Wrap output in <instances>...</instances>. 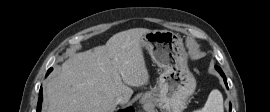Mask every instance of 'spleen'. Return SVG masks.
I'll use <instances>...</instances> for the list:
<instances>
[{
  "label": "spleen",
  "instance_id": "spleen-1",
  "mask_svg": "<svg viewBox=\"0 0 270 112\" xmlns=\"http://www.w3.org/2000/svg\"><path fill=\"white\" fill-rule=\"evenodd\" d=\"M193 112H223V97L220 91L217 89L212 90L205 106Z\"/></svg>",
  "mask_w": 270,
  "mask_h": 112
}]
</instances>
